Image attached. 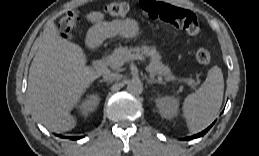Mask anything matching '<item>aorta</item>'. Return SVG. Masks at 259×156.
Here are the masks:
<instances>
[{"instance_id":"obj_1","label":"aorta","mask_w":259,"mask_h":156,"mask_svg":"<svg viewBox=\"0 0 259 156\" xmlns=\"http://www.w3.org/2000/svg\"><path fill=\"white\" fill-rule=\"evenodd\" d=\"M127 91L134 95H139L143 91V84L138 79H132L127 84Z\"/></svg>"}]
</instances>
